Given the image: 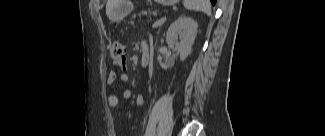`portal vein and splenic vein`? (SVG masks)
<instances>
[{
    "instance_id": "portal-vein-and-splenic-vein-1",
    "label": "portal vein and splenic vein",
    "mask_w": 325,
    "mask_h": 136,
    "mask_svg": "<svg viewBox=\"0 0 325 136\" xmlns=\"http://www.w3.org/2000/svg\"><path fill=\"white\" fill-rule=\"evenodd\" d=\"M164 21H166V18L163 17L161 19H159L158 21H156L153 25V27L159 26L161 23H163Z\"/></svg>"
}]
</instances>
